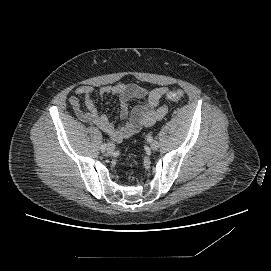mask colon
<instances>
[{
	"instance_id": "obj_1",
	"label": "colon",
	"mask_w": 271,
	"mask_h": 271,
	"mask_svg": "<svg viewBox=\"0 0 271 271\" xmlns=\"http://www.w3.org/2000/svg\"><path fill=\"white\" fill-rule=\"evenodd\" d=\"M184 93L182 90H171L167 93V98L170 101H179L183 98Z\"/></svg>"
}]
</instances>
